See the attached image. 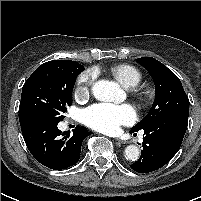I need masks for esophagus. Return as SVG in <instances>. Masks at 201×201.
Segmentation results:
<instances>
[{
    "label": "esophagus",
    "mask_w": 201,
    "mask_h": 201,
    "mask_svg": "<svg viewBox=\"0 0 201 201\" xmlns=\"http://www.w3.org/2000/svg\"><path fill=\"white\" fill-rule=\"evenodd\" d=\"M115 141H116V143H118V144H125L126 143V141H123V140H121V139H115Z\"/></svg>",
    "instance_id": "obj_1"
}]
</instances>
